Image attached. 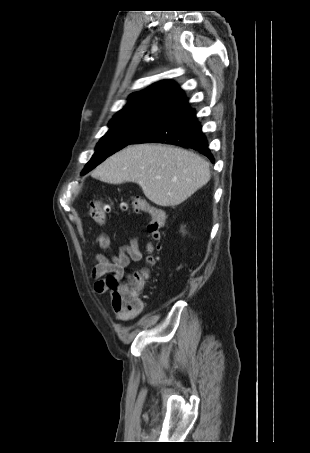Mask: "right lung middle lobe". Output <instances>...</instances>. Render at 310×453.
<instances>
[{
    "instance_id": "dd1d6c3e",
    "label": "right lung middle lobe",
    "mask_w": 310,
    "mask_h": 453,
    "mask_svg": "<svg viewBox=\"0 0 310 453\" xmlns=\"http://www.w3.org/2000/svg\"><path fill=\"white\" fill-rule=\"evenodd\" d=\"M157 117L115 116L109 123V131L100 139L95 153L85 166L82 175L89 172L108 156L135 140Z\"/></svg>"
}]
</instances>
